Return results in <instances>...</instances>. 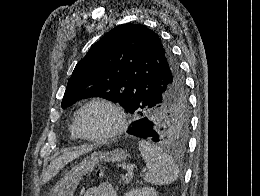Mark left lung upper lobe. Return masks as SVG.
Instances as JSON below:
<instances>
[{"label": "left lung upper lobe", "instance_id": "obj_1", "mask_svg": "<svg viewBox=\"0 0 260 196\" xmlns=\"http://www.w3.org/2000/svg\"><path fill=\"white\" fill-rule=\"evenodd\" d=\"M89 97L119 102L136 119L153 123L158 142L186 147L190 112L184 81L170 48L146 26L113 28L78 62L61 107Z\"/></svg>", "mask_w": 260, "mask_h": 196}]
</instances>
